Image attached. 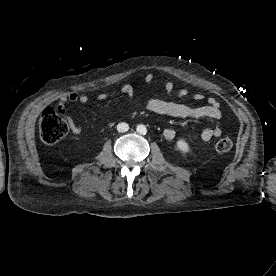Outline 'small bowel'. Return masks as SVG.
Instances as JSON below:
<instances>
[{
  "label": "small bowel",
  "mask_w": 276,
  "mask_h": 276,
  "mask_svg": "<svg viewBox=\"0 0 276 276\" xmlns=\"http://www.w3.org/2000/svg\"><path fill=\"white\" fill-rule=\"evenodd\" d=\"M157 82V78L154 74L149 73L145 76L144 86L147 88L152 84ZM173 82L167 80L165 82V89L167 94L171 95L173 92ZM189 94L187 89H181L177 92L178 98H184ZM125 95L128 98H132L134 95V90L131 85L122 86L117 92L114 93H100L97 98L100 101L106 100L108 98ZM205 98L203 94L194 95L193 99L195 101H201ZM68 102L86 104L88 102V96L84 94H79L76 92H71L66 95H62L58 100L59 110L64 112L66 104ZM147 109L150 112L166 115L175 118H192V119H202L208 118L213 120H219L222 117V112L219 107V103L214 98L208 99V104L201 106H189L180 102L168 101L163 99H150L146 105ZM67 120L70 126L71 131L74 134H79L81 132V127L71 118L67 116ZM223 133L222 128H205L201 131L200 137L203 141H209L213 137H219ZM176 132L172 128H167L163 131V136L166 140L174 139Z\"/></svg>",
  "instance_id": "c3829d8e"
}]
</instances>
